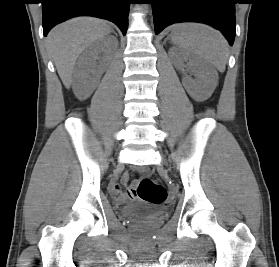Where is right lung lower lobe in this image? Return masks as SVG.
Here are the masks:
<instances>
[{
	"label": "right lung lower lobe",
	"instance_id": "right-lung-lower-lobe-1",
	"mask_svg": "<svg viewBox=\"0 0 279 267\" xmlns=\"http://www.w3.org/2000/svg\"><path fill=\"white\" fill-rule=\"evenodd\" d=\"M130 0H43L44 36L56 24L75 16H95L115 23L126 34Z\"/></svg>",
	"mask_w": 279,
	"mask_h": 267
}]
</instances>
